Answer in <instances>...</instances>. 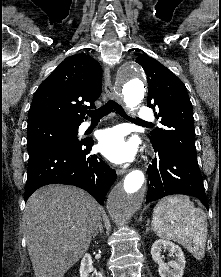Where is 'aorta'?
<instances>
[{
	"label": "aorta",
	"instance_id": "obj_1",
	"mask_svg": "<svg viewBox=\"0 0 221 277\" xmlns=\"http://www.w3.org/2000/svg\"><path fill=\"white\" fill-rule=\"evenodd\" d=\"M118 89L126 106L135 110L145 94V74L137 64L124 65L118 73ZM145 176L141 170H133L116 185L107 199V210L119 227L127 226L144 199Z\"/></svg>",
	"mask_w": 221,
	"mask_h": 277
}]
</instances>
